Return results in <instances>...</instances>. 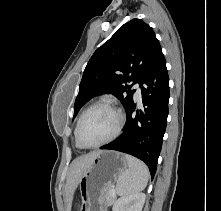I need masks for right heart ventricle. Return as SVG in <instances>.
Masks as SVG:
<instances>
[{"mask_svg": "<svg viewBox=\"0 0 221 211\" xmlns=\"http://www.w3.org/2000/svg\"><path fill=\"white\" fill-rule=\"evenodd\" d=\"M75 134H76V129H75ZM75 143H76V146H77L78 148H81V147L79 146V144L77 143L76 139H75Z\"/></svg>", "mask_w": 221, "mask_h": 211, "instance_id": "right-heart-ventricle-1", "label": "right heart ventricle"}]
</instances>
